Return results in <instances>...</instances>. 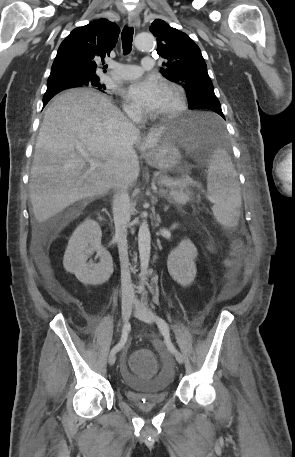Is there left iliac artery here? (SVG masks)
I'll return each mask as SVG.
<instances>
[{"label":"left iliac artery","mask_w":295,"mask_h":457,"mask_svg":"<svg viewBox=\"0 0 295 457\" xmlns=\"http://www.w3.org/2000/svg\"><path fill=\"white\" fill-rule=\"evenodd\" d=\"M152 315H154V317L156 319V322H157V325H158L161 333L163 334V336L165 338V342H166V345H167L168 349L172 353H176L177 350H176V348L174 347V345L172 344V342L170 340V332H169L168 324L166 323V321L164 319L160 318L159 316H157L155 314H152Z\"/></svg>","instance_id":"left-iliac-artery-1"}]
</instances>
